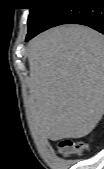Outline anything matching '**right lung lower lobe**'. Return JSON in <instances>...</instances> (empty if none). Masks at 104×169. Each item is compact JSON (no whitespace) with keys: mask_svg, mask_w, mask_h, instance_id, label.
Here are the masks:
<instances>
[{"mask_svg":"<svg viewBox=\"0 0 104 169\" xmlns=\"http://www.w3.org/2000/svg\"><path fill=\"white\" fill-rule=\"evenodd\" d=\"M56 4L42 25L28 33L26 41L61 24H82L104 34V0H56Z\"/></svg>","mask_w":104,"mask_h":169,"instance_id":"1","label":"right lung lower lobe"}]
</instances>
